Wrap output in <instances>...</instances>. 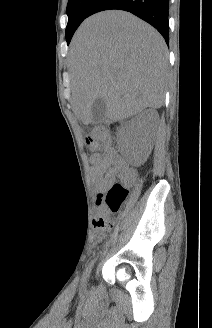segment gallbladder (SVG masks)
<instances>
[{"mask_svg":"<svg viewBox=\"0 0 212 328\" xmlns=\"http://www.w3.org/2000/svg\"><path fill=\"white\" fill-rule=\"evenodd\" d=\"M106 102L103 98H97L91 108L92 123L98 124L105 118Z\"/></svg>","mask_w":212,"mask_h":328,"instance_id":"bac80fb5","label":"gallbladder"}]
</instances>
